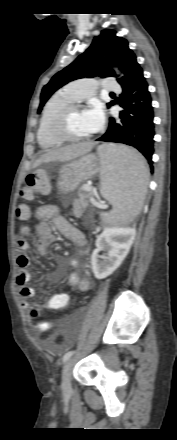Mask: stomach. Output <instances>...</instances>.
I'll use <instances>...</instances> for the list:
<instances>
[{"instance_id":"obj_1","label":"stomach","mask_w":177,"mask_h":440,"mask_svg":"<svg viewBox=\"0 0 177 440\" xmlns=\"http://www.w3.org/2000/svg\"><path fill=\"white\" fill-rule=\"evenodd\" d=\"M101 159L94 154L83 155L63 165L59 172L57 187L60 193L67 194L85 182L93 178L101 171ZM39 170L35 171L38 173Z\"/></svg>"}]
</instances>
